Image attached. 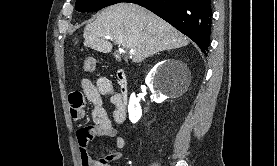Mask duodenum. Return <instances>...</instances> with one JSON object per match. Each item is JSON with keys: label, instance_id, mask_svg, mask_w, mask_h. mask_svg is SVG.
I'll return each instance as SVG.
<instances>
[{"label": "duodenum", "instance_id": "duodenum-1", "mask_svg": "<svg viewBox=\"0 0 277 166\" xmlns=\"http://www.w3.org/2000/svg\"><path fill=\"white\" fill-rule=\"evenodd\" d=\"M117 79L120 86V92L118 94L119 98V111L122 116H126V109L128 103V95H129V84L128 79L123 70L118 71Z\"/></svg>", "mask_w": 277, "mask_h": 166}]
</instances>
